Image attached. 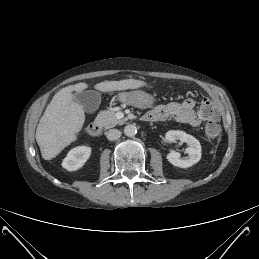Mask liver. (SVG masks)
<instances>
[{"instance_id":"6515ba94","label":"liver","mask_w":259,"mask_h":259,"mask_svg":"<svg viewBox=\"0 0 259 259\" xmlns=\"http://www.w3.org/2000/svg\"><path fill=\"white\" fill-rule=\"evenodd\" d=\"M147 85L144 81L126 79L104 81L95 85L101 92L137 89ZM86 83H78L61 89L55 94L41 117L36 130V141L42 158L51 160L77 139V133L85 122L83 106L73 100V91H83Z\"/></svg>"}]
</instances>
